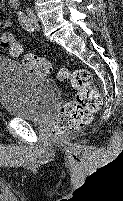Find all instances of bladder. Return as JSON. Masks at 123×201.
Returning a JSON list of instances; mask_svg holds the SVG:
<instances>
[{"label": "bladder", "instance_id": "bladder-1", "mask_svg": "<svg viewBox=\"0 0 123 201\" xmlns=\"http://www.w3.org/2000/svg\"><path fill=\"white\" fill-rule=\"evenodd\" d=\"M59 100V88L52 80L30 73L11 57L0 56V106L10 116L41 121Z\"/></svg>", "mask_w": 123, "mask_h": 201}]
</instances>
